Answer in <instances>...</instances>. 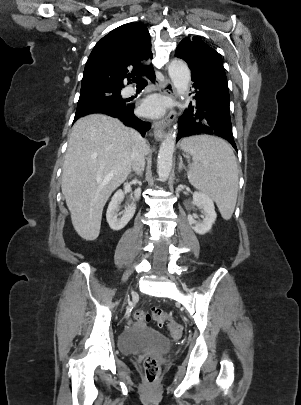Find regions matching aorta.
I'll use <instances>...</instances> for the list:
<instances>
[{
    "instance_id": "762f6f07",
    "label": "aorta",
    "mask_w": 301,
    "mask_h": 405,
    "mask_svg": "<svg viewBox=\"0 0 301 405\" xmlns=\"http://www.w3.org/2000/svg\"><path fill=\"white\" fill-rule=\"evenodd\" d=\"M169 76L177 94L184 98L188 91L191 73L187 64L180 59H174L168 66ZM176 128L171 129L162 141L157 159V173L160 178H168L172 169L173 153L176 143Z\"/></svg>"
}]
</instances>
